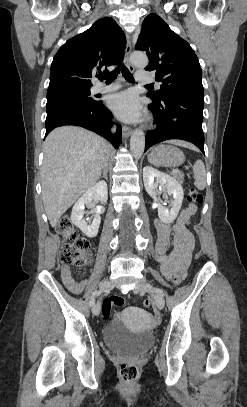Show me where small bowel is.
<instances>
[{
  "mask_svg": "<svg viewBox=\"0 0 247 407\" xmlns=\"http://www.w3.org/2000/svg\"><path fill=\"white\" fill-rule=\"evenodd\" d=\"M195 210L192 206L183 209L175 225H170L160 220L156 221L157 244L156 254L161 271L166 279L173 275L185 277L190 265L192 253L195 247L194 235L188 229L191 217ZM172 246V251L169 249ZM61 275L66 287L73 293H80L87 285V281L77 282L72 274L71 268L64 265Z\"/></svg>",
  "mask_w": 247,
  "mask_h": 407,
  "instance_id": "small-bowel-1",
  "label": "small bowel"
}]
</instances>
